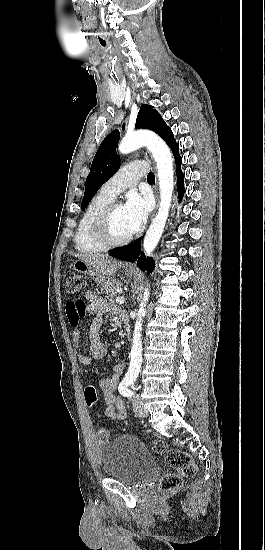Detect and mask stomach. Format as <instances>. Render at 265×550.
Wrapping results in <instances>:
<instances>
[{"instance_id":"stomach-1","label":"stomach","mask_w":265,"mask_h":550,"mask_svg":"<svg viewBox=\"0 0 265 550\" xmlns=\"http://www.w3.org/2000/svg\"><path fill=\"white\" fill-rule=\"evenodd\" d=\"M72 267L75 271L83 274H87L92 276L99 284L104 285L106 281V277L103 276L101 273L96 271L90 264L84 262L81 259H78L73 262ZM125 274L127 276H133L135 274L134 271L126 270Z\"/></svg>"}]
</instances>
